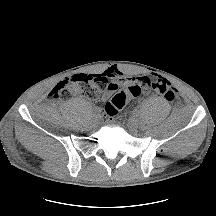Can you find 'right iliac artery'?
<instances>
[{"instance_id":"obj_1","label":"right iliac artery","mask_w":216,"mask_h":216,"mask_svg":"<svg viewBox=\"0 0 216 216\" xmlns=\"http://www.w3.org/2000/svg\"><path fill=\"white\" fill-rule=\"evenodd\" d=\"M100 112H101V110H100L99 108L96 107V108L94 109V114H95V115H96V114H97V115L100 114Z\"/></svg>"}]
</instances>
